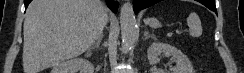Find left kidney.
Wrapping results in <instances>:
<instances>
[{"label":"left kidney","mask_w":244,"mask_h":73,"mask_svg":"<svg viewBox=\"0 0 244 73\" xmlns=\"http://www.w3.org/2000/svg\"><path fill=\"white\" fill-rule=\"evenodd\" d=\"M172 56L176 66L171 69V73H194L193 65L181 50L167 43L154 42L147 50V57L150 65H155L160 61L159 56ZM154 73H165L162 69L154 67Z\"/></svg>","instance_id":"obj_1"}]
</instances>
